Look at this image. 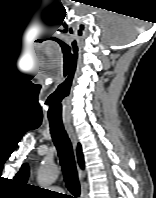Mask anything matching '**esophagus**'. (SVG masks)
I'll use <instances>...</instances> for the list:
<instances>
[{
  "label": "esophagus",
  "mask_w": 156,
  "mask_h": 198,
  "mask_svg": "<svg viewBox=\"0 0 156 198\" xmlns=\"http://www.w3.org/2000/svg\"><path fill=\"white\" fill-rule=\"evenodd\" d=\"M64 126L74 148H76L77 138H76V134L74 132L72 125L70 123H65ZM78 174H79V179L81 183V197L80 198H87V189L84 184V173H83V170L79 166H78Z\"/></svg>",
  "instance_id": "1"
}]
</instances>
